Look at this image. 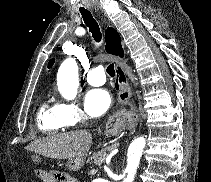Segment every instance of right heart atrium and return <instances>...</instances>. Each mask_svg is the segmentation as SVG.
Segmentation results:
<instances>
[{
  "label": "right heart atrium",
  "mask_w": 211,
  "mask_h": 182,
  "mask_svg": "<svg viewBox=\"0 0 211 182\" xmlns=\"http://www.w3.org/2000/svg\"><path fill=\"white\" fill-rule=\"evenodd\" d=\"M59 112L67 126H75L86 120V115L76 102H61Z\"/></svg>",
  "instance_id": "right-heart-atrium-1"
}]
</instances>
